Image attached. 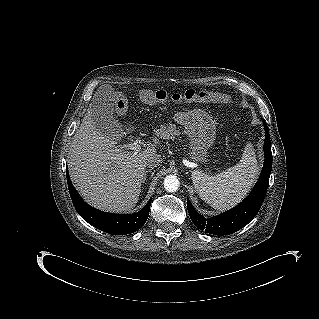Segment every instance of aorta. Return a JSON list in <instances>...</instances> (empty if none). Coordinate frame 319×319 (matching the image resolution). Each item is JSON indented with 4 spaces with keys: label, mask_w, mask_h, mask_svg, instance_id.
<instances>
[{
    "label": "aorta",
    "mask_w": 319,
    "mask_h": 319,
    "mask_svg": "<svg viewBox=\"0 0 319 319\" xmlns=\"http://www.w3.org/2000/svg\"><path fill=\"white\" fill-rule=\"evenodd\" d=\"M164 188L168 192H175L179 187V180L174 175H168L164 179Z\"/></svg>",
    "instance_id": "762f6f07"
}]
</instances>
